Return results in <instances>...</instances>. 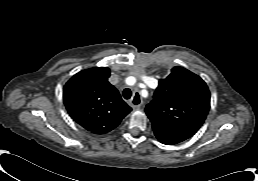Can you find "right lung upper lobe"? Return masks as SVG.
<instances>
[{
	"label": "right lung upper lobe",
	"mask_w": 258,
	"mask_h": 181,
	"mask_svg": "<svg viewBox=\"0 0 258 181\" xmlns=\"http://www.w3.org/2000/svg\"><path fill=\"white\" fill-rule=\"evenodd\" d=\"M109 76L107 67L83 70L74 75L63 90L70 116L96 134L111 131L132 110L108 82Z\"/></svg>",
	"instance_id": "cb5924a9"
}]
</instances>
